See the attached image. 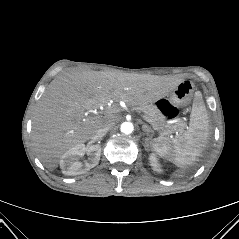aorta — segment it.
I'll list each match as a JSON object with an SVG mask.
<instances>
[{"label":"aorta","mask_w":239,"mask_h":239,"mask_svg":"<svg viewBox=\"0 0 239 239\" xmlns=\"http://www.w3.org/2000/svg\"><path fill=\"white\" fill-rule=\"evenodd\" d=\"M120 131L124 134H131L134 131V125L130 121H125L120 126Z\"/></svg>","instance_id":"aorta-1"}]
</instances>
